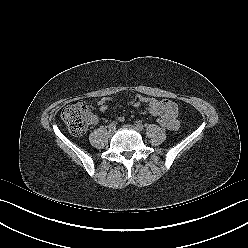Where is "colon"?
Returning <instances> with one entry per match:
<instances>
[{
    "mask_svg": "<svg viewBox=\"0 0 248 248\" xmlns=\"http://www.w3.org/2000/svg\"><path fill=\"white\" fill-rule=\"evenodd\" d=\"M91 118L92 105L87 102H78L68 105L62 111L63 121L69 131L75 136H80L86 132ZM157 123L163 128H168L169 126V122L165 118L159 117Z\"/></svg>",
    "mask_w": 248,
    "mask_h": 248,
    "instance_id": "5ec220e1",
    "label": "colon"
}]
</instances>
